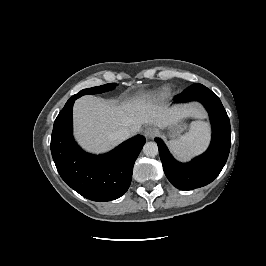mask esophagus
<instances>
[{
	"mask_svg": "<svg viewBox=\"0 0 266 266\" xmlns=\"http://www.w3.org/2000/svg\"><path fill=\"white\" fill-rule=\"evenodd\" d=\"M143 134L146 138L152 139L158 134V130L154 126H148L144 129Z\"/></svg>",
	"mask_w": 266,
	"mask_h": 266,
	"instance_id": "34e87169",
	"label": "esophagus"
}]
</instances>
